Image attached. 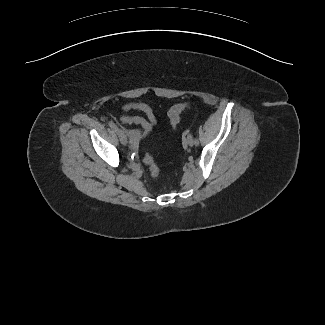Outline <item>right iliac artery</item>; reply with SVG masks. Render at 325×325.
Segmentation results:
<instances>
[{
    "label": "right iliac artery",
    "mask_w": 325,
    "mask_h": 325,
    "mask_svg": "<svg viewBox=\"0 0 325 325\" xmlns=\"http://www.w3.org/2000/svg\"><path fill=\"white\" fill-rule=\"evenodd\" d=\"M108 125L110 126L111 129H113L115 132H118V127L112 122H108Z\"/></svg>",
    "instance_id": "right-iliac-artery-1"
}]
</instances>
